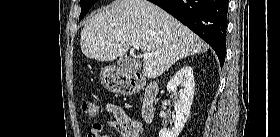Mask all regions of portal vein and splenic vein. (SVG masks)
I'll return each instance as SVG.
<instances>
[{"label":"portal vein and splenic vein","instance_id":"obj_1","mask_svg":"<svg viewBox=\"0 0 280 137\" xmlns=\"http://www.w3.org/2000/svg\"><path fill=\"white\" fill-rule=\"evenodd\" d=\"M133 47H134L135 49H139L140 45H139L138 43H133ZM149 55H150V54L145 53L143 56H144V58H147Z\"/></svg>","mask_w":280,"mask_h":137}]
</instances>
